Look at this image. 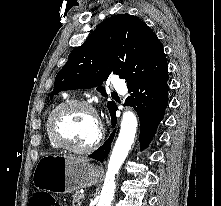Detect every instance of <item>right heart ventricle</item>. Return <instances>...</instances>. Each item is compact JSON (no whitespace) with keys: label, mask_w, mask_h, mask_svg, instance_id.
I'll list each match as a JSON object with an SVG mask.
<instances>
[{"label":"right heart ventricle","mask_w":221,"mask_h":206,"mask_svg":"<svg viewBox=\"0 0 221 206\" xmlns=\"http://www.w3.org/2000/svg\"><path fill=\"white\" fill-rule=\"evenodd\" d=\"M47 122H48V119H47ZM47 122H46V133H47V137H48L49 143H50V145H51L53 148H58V146L51 140V138H50V136H49L48 128H47Z\"/></svg>","instance_id":"right-heart-ventricle-1"}]
</instances>
